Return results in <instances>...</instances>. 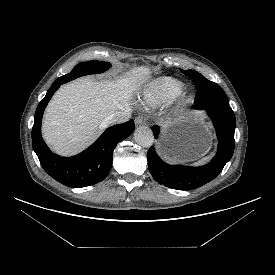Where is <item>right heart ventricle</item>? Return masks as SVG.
<instances>
[{
  "label": "right heart ventricle",
  "mask_w": 275,
  "mask_h": 275,
  "mask_svg": "<svg viewBox=\"0 0 275 275\" xmlns=\"http://www.w3.org/2000/svg\"><path fill=\"white\" fill-rule=\"evenodd\" d=\"M182 90V83L169 77H162L150 83L142 93V103L156 107L168 102Z\"/></svg>",
  "instance_id": "obj_1"
}]
</instances>
